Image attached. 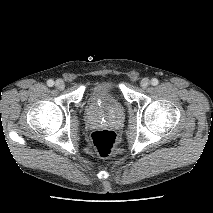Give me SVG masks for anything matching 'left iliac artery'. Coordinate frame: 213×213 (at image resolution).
I'll list each match as a JSON object with an SVG mask.
<instances>
[{
	"label": "left iliac artery",
	"instance_id": "1",
	"mask_svg": "<svg viewBox=\"0 0 213 213\" xmlns=\"http://www.w3.org/2000/svg\"><path fill=\"white\" fill-rule=\"evenodd\" d=\"M158 83H159V81H158V79H156V78H153V79L151 80V84H152L153 86L158 85Z\"/></svg>",
	"mask_w": 213,
	"mask_h": 213
}]
</instances>
